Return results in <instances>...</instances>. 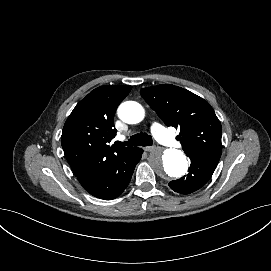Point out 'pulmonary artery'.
Instances as JSON below:
<instances>
[{"instance_id": "obj_1", "label": "pulmonary artery", "mask_w": 271, "mask_h": 271, "mask_svg": "<svg viewBox=\"0 0 271 271\" xmlns=\"http://www.w3.org/2000/svg\"><path fill=\"white\" fill-rule=\"evenodd\" d=\"M154 134L164 143L168 145H173L175 143V138L171 135L165 133V130L161 127H156L154 129Z\"/></svg>"}]
</instances>
